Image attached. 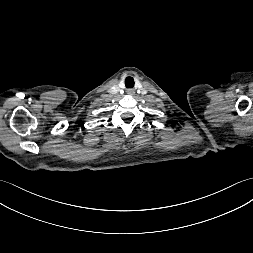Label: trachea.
<instances>
[{
  "mask_svg": "<svg viewBox=\"0 0 253 253\" xmlns=\"http://www.w3.org/2000/svg\"><path fill=\"white\" fill-rule=\"evenodd\" d=\"M125 86L127 88H133L134 87V79L130 76L126 77L125 79Z\"/></svg>",
  "mask_w": 253,
  "mask_h": 253,
  "instance_id": "3493384b",
  "label": "trachea"
}]
</instances>
